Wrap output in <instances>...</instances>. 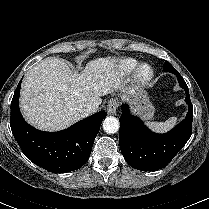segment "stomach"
<instances>
[{"label": "stomach", "instance_id": "0dacf381", "mask_svg": "<svg viewBox=\"0 0 209 209\" xmlns=\"http://www.w3.org/2000/svg\"><path fill=\"white\" fill-rule=\"evenodd\" d=\"M129 99L133 104L134 111L144 120H150L153 118L155 108L150 102L146 92L142 90L134 91L130 94Z\"/></svg>", "mask_w": 209, "mask_h": 209}]
</instances>
